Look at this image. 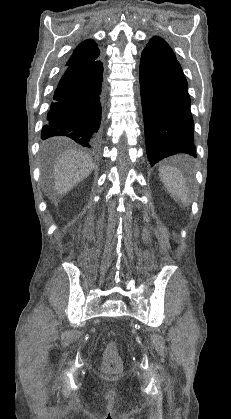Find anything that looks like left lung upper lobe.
Wrapping results in <instances>:
<instances>
[{
    "label": "left lung upper lobe",
    "mask_w": 231,
    "mask_h": 419,
    "mask_svg": "<svg viewBox=\"0 0 231 419\" xmlns=\"http://www.w3.org/2000/svg\"><path fill=\"white\" fill-rule=\"evenodd\" d=\"M143 51L150 54L176 59L175 54L169 47L168 43L160 37H153Z\"/></svg>",
    "instance_id": "obj_1"
}]
</instances>
